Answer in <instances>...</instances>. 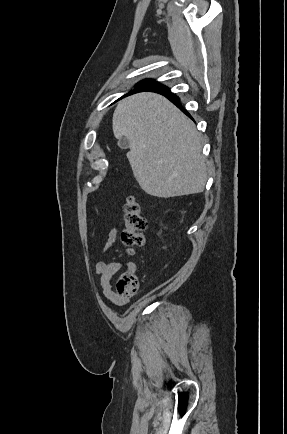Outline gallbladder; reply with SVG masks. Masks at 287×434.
Here are the masks:
<instances>
[{"instance_id":"obj_1","label":"gallbladder","mask_w":287,"mask_h":434,"mask_svg":"<svg viewBox=\"0 0 287 434\" xmlns=\"http://www.w3.org/2000/svg\"><path fill=\"white\" fill-rule=\"evenodd\" d=\"M117 144L121 149H127L129 147V140L126 137L122 136L118 139Z\"/></svg>"}]
</instances>
